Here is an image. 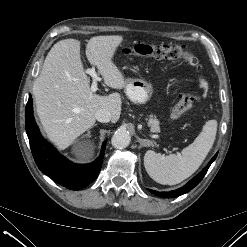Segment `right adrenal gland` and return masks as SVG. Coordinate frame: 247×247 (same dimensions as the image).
Masks as SVG:
<instances>
[{"mask_svg": "<svg viewBox=\"0 0 247 247\" xmlns=\"http://www.w3.org/2000/svg\"><path fill=\"white\" fill-rule=\"evenodd\" d=\"M94 126H97V124H95ZM94 126H93V127H94ZM93 127H91V128H93ZM90 134H91V131H88V132H87V135H88L89 137H90Z\"/></svg>", "mask_w": 247, "mask_h": 247, "instance_id": "1", "label": "right adrenal gland"}]
</instances>
